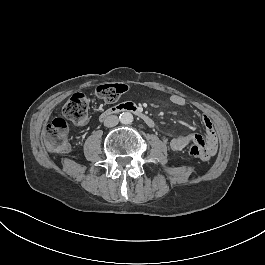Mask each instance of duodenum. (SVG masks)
I'll return each mask as SVG.
<instances>
[{"mask_svg": "<svg viewBox=\"0 0 265 265\" xmlns=\"http://www.w3.org/2000/svg\"><path fill=\"white\" fill-rule=\"evenodd\" d=\"M126 111H129V112L135 114L140 120H142L149 127H153L155 124L153 118L149 114L142 111L140 108H138L133 103H121V104H117V105H114V106L106 109L100 115V120L101 121L105 120L114 114H118V113H122V112H126Z\"/></svg>", "mask_w": 265, "mask_h": 265, "instance_id": "obj_1", "label": "duodenum"}]
</instances>
